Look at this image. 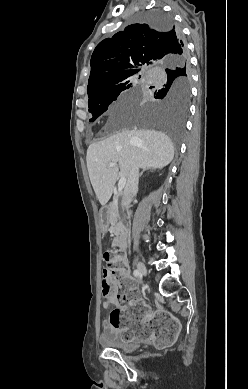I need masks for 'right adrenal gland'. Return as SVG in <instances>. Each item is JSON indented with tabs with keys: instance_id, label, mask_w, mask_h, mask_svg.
<instances>
[{
	"instance_id": "right-adrenal-gland-1",
	"label": "right adrenal gland",
	"mask_w": 248,
	"mask_h": 389,
	"mask_svg": "<svg viewBox=\"0 0 248 389\" xmlns=\"http://www.w3.org/2000/svg\"><path fill=\"white\" fill-rule=\"evenodd\" d=\"M148 170V169H144L141 173H140V177L143 175V173Z\"/></svg>"
}]
</instances>
